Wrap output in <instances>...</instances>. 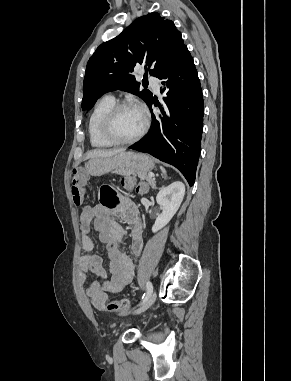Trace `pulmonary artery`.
I'll return each mask as SVG.
<instances>
[{"label": "pulmonary artery", "mask_w": 291, "mask_h": 381, "mask_svg": "<svg viewBox=\"0 0 291 381\" xmlns=\"http://www.w3.org/2000/svg\"><path fill=\"white\" fill-rule=\"evenodd\" d=\"M149 82H150V84L153 86L154 90H155L156 92H158V91H159V84H160V81H159L157 78L150 77V78H149ZM110 97H112V96H110Z\"/></svg>", "instance_id": "obj_1"}]
</instances>
